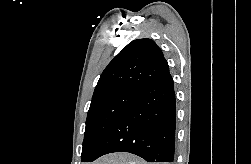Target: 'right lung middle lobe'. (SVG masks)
I'll use <instances>...</instances> for the list:
<instances>
[{
  "label": "right lung middle lobe",
  "mask_w": 251,
  "mask_h": 164,
  "mask_svg": "<svg viewBox=\"0 0 251 164\" xmlns=\"http://www.w3.org/2000/svg\"><path fill=\"white\" fill-rule=\"evenodd\" d=\"M140 89L122 87L92 98L86 120L81 160L84 162L116 119L139 97Z\"/></svg>",
  "instance_id": "dd1d6c3e"
}]
</instances>
